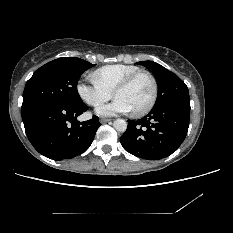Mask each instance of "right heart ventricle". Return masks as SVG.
<instances>
[{"label":"right heart ventricle","mask_w":233,"mask_h":233,"mask_svg":"<svg viewBox=\"0 0 233 233\" xmlns=\"http://www.w3.org/2000/svg\"><path fill=\"white\" fill-rule=\"evenodd\" d=\"M137 71H140V68L134 65L112 64L97 69L91 74V78L107 90L113 92L123 79Z\"/></svg>","instance_id":"e07e8e85"}]
</instances>
